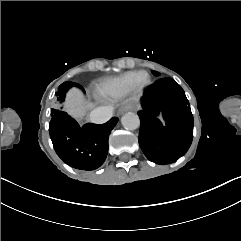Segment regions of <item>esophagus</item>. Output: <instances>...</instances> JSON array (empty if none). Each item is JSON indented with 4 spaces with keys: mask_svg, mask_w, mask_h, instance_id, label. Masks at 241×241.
I'll return each mask as SVG.
<instances>
[{
    "mask_svg": "<svg viewBox=\"0 0 241 241\" xmlns=\"http://www.w3.org/2000/svg\"><path fill=\"white\" fill-rule=\"evenodd\" d=\"M133 107V105L131 103L128 104H123L120 109L119 112H124L127 111L128 109H131Z\"/></svg>",
    "mask_w": 241,
    "mask_h": 241,
    "instance_id": "obj_1",
    "label": "esophagus"
}]
</instances>
